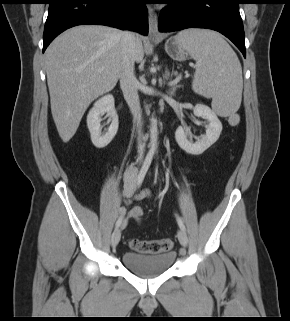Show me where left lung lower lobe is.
I'll return each instance as SVG.
<instances>
[{
	"label": "left lung lower lobe",
	"instance_id": "left-lung-lower-lobe-1",
	"mask_svg": "<svg viewBox=\"0 0 290 321\" xmlns=\"http://www.w3.org/2000/svg\"><path fill=\"white\" fill-rule=\"evenodd\" d=\"M241 0H168L172 6L159 16L161 32L186 28L216 30L229 38L246 57L243 23L239 13Z\"/></svg>",
	"mask_w": 290,
	"mask_h": 321
}]
</instances>
